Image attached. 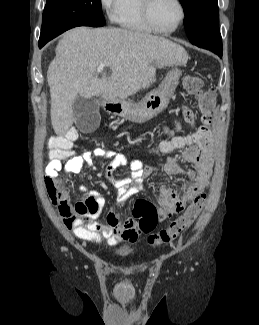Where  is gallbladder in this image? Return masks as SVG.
I'll list each match as a JSON object with an SVG mask.
<instances>
[{"label":"gallbladder","instance_id":"gallbladder-1","mask_svg":"<svg viewBox=\"0 0 259 325\" xmlns=\"http://www.w3.org/2000/svg\"><path fill=\"white\" fill-rule=\"evenodd\" d=\"M79 128L90 135V131L95 130L100 124V114L98 100L95 97L84 98L77 95L72 106Z\"/></svg>","mask_w":259,"mask_h":325}]
</instances>
